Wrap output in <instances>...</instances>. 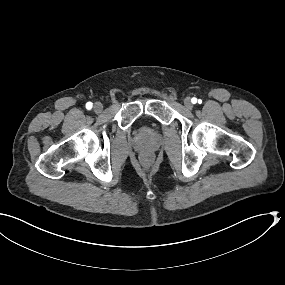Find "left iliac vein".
Wrapping results in <instances>:
<instances>
[{
    "mask_svg": "<svg viewBox=\"0 0 285 285\" xmlns=\"http://www.w3.org/2000/svg\"><path fill=\"white\" fill-rule=\"evenodd\" d=\"M184 106L188 109V110H191L193 108V104H192V101L189 97H186L184 99Z\"/></svg>",
    "mask_w": 285,
    "mask_h": 285,
    "instance_id": "4c4485c4",
    "label": "left iliac vein"
}]
</instances>
